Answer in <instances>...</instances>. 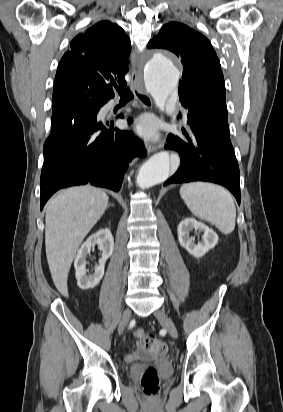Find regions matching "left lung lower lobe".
Instances as JSON below:
<instances>
[{
    "instance_id": "1",
    "label": "left lung lower lobe",
    "mask_w": 283,
    "mask_h": 412,
    "mask_svg": "<svg viewBox=\"0 0 283 412\" xmlns=\"http://www.w3.org/2000/svg\"><path fill=\"white\" fill-rule=\"evenodd\" d=\"M189 133L185 138L169 134L166 148L177 151L181 164L164 186L172 183L207 181L225 186L240 204L239 167L229 130L214 129L188 112Z\"/></svg>"
}]
</instances>
